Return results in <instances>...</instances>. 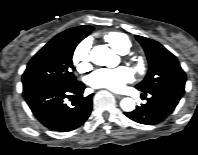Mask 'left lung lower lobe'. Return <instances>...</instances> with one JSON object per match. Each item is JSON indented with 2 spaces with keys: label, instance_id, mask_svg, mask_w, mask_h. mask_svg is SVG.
Masks as SVG:
<instances>
[{
  "label": "left lung lower lobe",
  "instance_id": "1",
  "mask_svg": "<svg viewBox=\"0 0 198 155\" xmlns=\"http://www.w3.org/2000/svg\"><path fill=\"white\" fill-rule=\"evenodd\" d=\"M185 90L177 87H161L148 92L151 97L146 104L137 106L132 112L124 114L131 120L145 124L154 125L162 122L177 106ZM146 95V93H143Z\"/></svg>",
  "mask_w": 198,
  "mask_h": 155
}]
</instances>
